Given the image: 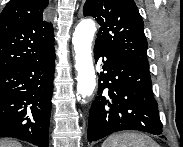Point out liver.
Here are the masks:
<instances>
[{"label": "liver", "instance_id": "6515ba94", "mask_svg": "<svg viewBox=\"0 0 183 147\" xmlns=\"http://www.w3.org/2000/svg\"><path fill=\"white\" fill-rule=\"evenodd\" d=\"M0 147H22L21 144L15 140L4 139L0 140Z\"/></svg>", "mask_w": 183, "mask_h": 147}]
</instances>
